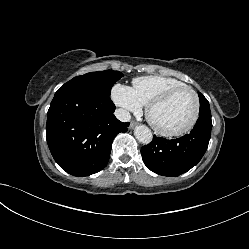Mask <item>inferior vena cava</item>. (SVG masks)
<instances>
[{
  "instance_id": "inferior-vena-cava-1",
  "label": "inferior vena cava",
  "mask_w": 249,
  "mask_h": 249,
  "mask_svg": "<svg viewBox=\"0 0 249 249\" xmlns=\"http://www.w3.org/2000/svg\"><path fill=\"white\" fill-rule=\"evenodd\" d=\"M114 114L116 118L122 122H128L131 119L130 113L122 108L116 109Z\"/></svg>"
}]
</instances>
